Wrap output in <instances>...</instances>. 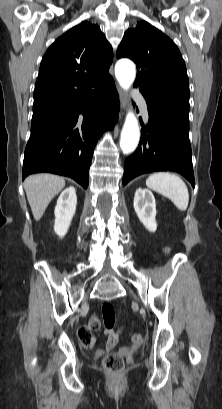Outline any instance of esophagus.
<instances>
[{"mask_svg":"<svg viewBox=\"0 0 222 409\" xmlns=\"http://www.w3.org/2000/svg\"><path fill=\"white\" fill-rule=\"evenodd\" d=\"M117 90L119 93V99H120V103H121V113H120V119H122L123 114H124V109L126 107V97H125V93L123 92V90L117 86Z\"/></svg>","mask_w":222,"mask_h":409,"instance_id":"esophagus-1","label":"esophagus"}]
</instances>
